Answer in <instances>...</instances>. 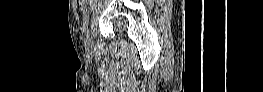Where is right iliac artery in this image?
Listing matches in <instances>:
<instances>
[{"label":"right iliac artery","instance_id":"obj_1","mask_svg":"<svg viewBox=\"0 0 263 92\" xmlns=\"http://www.w3.org/2000/svg\"><path fill=\"white\" fill-rule=\"evenodd\" d=\"M83 33L87 36L88 35V22L83 24Z\"/></svg>","mask_w":263,"mask_h":92}]
</instances>
